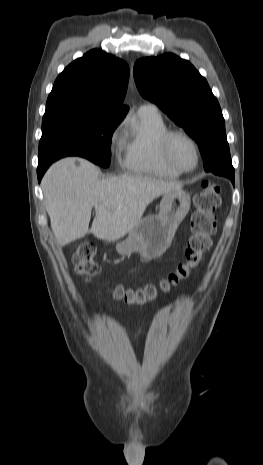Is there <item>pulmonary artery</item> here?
Masks as SVG:
<instances>
[{
    "instance_id": "pulmonary-artery-1",
    "label": "pulmonary artery",
    "mask_w": 263,
    "mask_h": 465,
    "mask_svg": "<svg viewBox=\"0 0 263 465\" xmlns=\"http://www.w3.org/2000/svg\"><path fill=\"white\" fill-rule=\"evenodd\" d=\"M139 110H146V111L158 112V109H157L156 105L151 104V103L143 104V105L139 108Z\"/></svg>"
}]
</instances>
